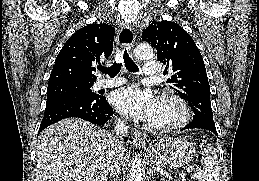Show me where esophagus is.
Returning <instances> with one entry per match:
<instances>
[{"label": "esophagus", "mask_w": 259, "mask_h": 181, "mask_svg": "<svg viewBox=\"0 0 259 181\" xmlns=\"http://www.w3.org/2000/svg\"><path fill=\"white\" fill-rule=\"evenodd\" d=\"M118 43L121 47L131 48L135 41V34L132 26L124 25L118 33ZM133 144L138 147H144L145 145V136L140 132H133L131 136Z\"/></svg>", "instance_id": "1"}]
</instances>
